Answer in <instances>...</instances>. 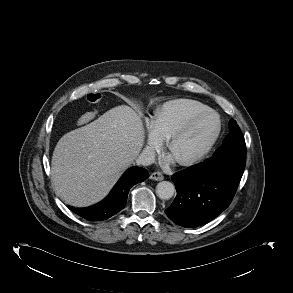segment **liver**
Segmentation results:
<instances>
[{
    "instance_id": "1",
    "label": "liver",
    "mask_w": 293,
    "mask_h": 293,
    "mask_svg": "<svg viewBox=\"0 0 293 293\" xmlns=\"http://www.w3.org/2000/svg\"><path fill=\"white\" fill-rule=\"evenodd\" d=\"M143 144L141 117L127 105L66 133L52 156L56 193L75 207L99 202L137 158Z\"/></svg>"
}]
</instances>
